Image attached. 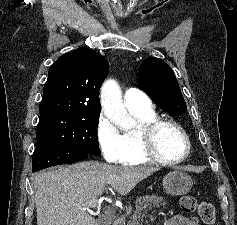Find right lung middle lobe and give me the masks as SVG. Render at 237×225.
I'll list each match as a JSON object with an SVG mask.
<instances>
[{
    "instance_id": "dd1d6c3e",
    "label": "right lung middle lobe",
    "mask_w": 237,
    "mask_h": 225,
    "mask_svg": "<svg viewBox=\"0 0 237 225\" xmlns=\"http://www.w3.org/2000/svg\"><path fill=\"white\" fill-rule=\"evenodd\" d=\"M99 115H60L39 120L37 145H55L100 155L97 139Z\"/></svg>"
}]
</instances>
